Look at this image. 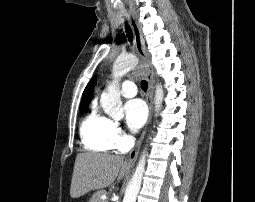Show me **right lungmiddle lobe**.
<instances>
[{
	"label": "right lung middle lobe",
	"mask_w": 255,
	"mask_h": 202,
	"mask_svg": "<svg viewBox=\"0 0 255 202\" xmlns=\"http://www.w3.org/2000/svg\"><path fill=\"white\" fill-rule=\"evenodd\" d=\"M88 105H81L80 106V112L83 113Z\"/></svg>",
	"instance_id": "dd1d6c3e"
}]
</instances>
